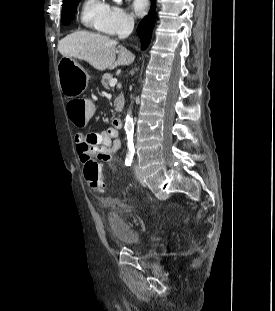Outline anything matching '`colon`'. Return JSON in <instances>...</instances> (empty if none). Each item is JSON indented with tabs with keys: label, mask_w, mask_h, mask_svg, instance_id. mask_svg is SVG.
Instances as JSON below:
<instances>
[{
	"label": "colon",
	"mask_w": 275,
	"mask_h": 311,
	"mask_svg": "<svg viewBox=\"0 0 275 311\" xmlns=\"http://www.w3.org/2000/svg\"><path fill=\"white\" fill-rule=\"evenodd\" d=\"M96 104H100V97H81L73 99L68 104V113L75 123V129H86L87 121L97 115ZM84 176L88 186L93 191L103 189L102 168L96 161H89L84 166Z\"/></svg>",
	"instance_id": "colon-1"
}]
</instances>
